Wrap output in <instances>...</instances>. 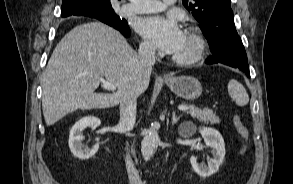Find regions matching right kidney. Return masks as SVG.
Listing matches in <instances>:
<instances>
[{"mask_svg": "<svg viewBox=\"0 0 293 184\" xmlns=\"http://www.w3.org/2000/svg\"><path fill=\"white\" fill-rule=\"evenodd\" d=\"M101 124L99 118L94 116H86L79 121H77L70 130L69 134V148L72 154L80 160H88L92 158L99 149V139L97 138V143L91 148H84L82 140L84 139L83 131L90 127L95 129Z\"/></svg>", "mask_w": 293, "mask_h": 184, "instance_id": "1", "label": "right kidney"}]
</instances>
